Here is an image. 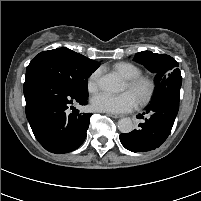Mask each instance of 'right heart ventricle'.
Wrapping results in <instances>:
<instances>
[{"mask_svg":"<svg viewBox=\"0 0 201 201\" xmlns=\"http://www.w3.org/2000/svg\"><path fill=\"white\" fill-rule=\"evenodd\" d=\"M113 69L127 80L140 76L141 74L140 68L129 62L116 63Z\"/></svg>","mask_w":201,"mask_h":201,"instance_id":"right-heart-ventricle-1","label":"right heart ventricle"}]
</instances>
